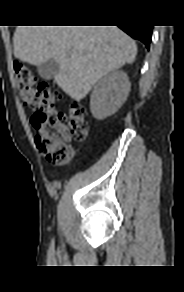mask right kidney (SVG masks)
Wrapping results in <instances>:
<instances>
[{"label": "right kidney", "instance_id": "obj_1", "mask_svg": "<svg viewBox=\"0 0 184 292\" xmlns=\"http://www.w3.org/2000/svg\"><path fill=\"white\" fill-rule=\"evenodd\" d=\"M129 91L130 82L124 71L117 70L105 75L91 94L90 109L94 118L103 120L114 114L126 101Z\"/></svg>", "mask_w": 184, "mask_h": 292}]
</instances>
